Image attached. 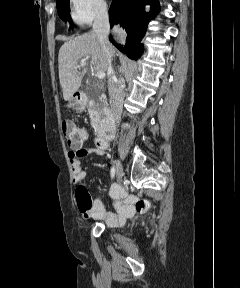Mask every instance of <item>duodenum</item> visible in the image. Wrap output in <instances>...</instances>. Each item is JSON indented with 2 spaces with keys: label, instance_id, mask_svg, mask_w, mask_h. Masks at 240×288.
<instances>
[{
  "label": "duodenum",
  "instance_id": "duodenum-1",
  "mask_svg": "<svg viewBox=\"0 0 240 288\" xmlns=\"http://www.w3.org/2000/svg\"><path fill=\"white\" fill-rule=\"evenodd\" d=\"M78 102L81 105L86 104V98L83 95L76 96ZM92 102H88L87 106L92 107ZM94 124L99 131V136L97 138V144L100 147L107 148L109 142L113 137V124L109 111L98 110L93 113Z\"/></svg>",
  "mask_w": 240,
  "mask_h": 288
}]
</instances>
